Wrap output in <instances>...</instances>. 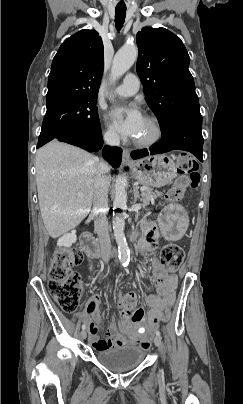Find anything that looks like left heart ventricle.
<instances>
[{
    "mask_svg": "<svg viewBox=\"0 0 243 404\" xmlns=\"http://www.w3.org/2000/svg\"><path fill=\"white\" fill-rule=\"evenodd\" d=\"M153 134V126L152 124L145 118L143 123V128L141 134L136 140H146L150 138Z\"/></svg>",
    "mask_w": 243,
    "mask_h": 404,
    "instance_id": "1",
    "label": "left heart ventricle"
}]
</instances>
